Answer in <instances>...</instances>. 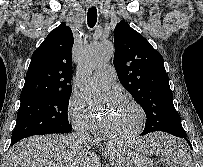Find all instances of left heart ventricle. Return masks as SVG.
I'll return each instance as SVG.
<instances>
[{"label": "left heart ventricle", "instance_id": "left-heart-ventricle-1", "mask_svg": "<svg viewBox=\"0 0 203 167\" xmlns=\"http://www.w3.org/2000/svg\"><path fill=\"white\" fill-rule=\"evenodd\" d=\"M104 126L113 134L123 136L132 132L138 123L137 113L125 102H118L114 108L101 115Z\"/></svg>", "mask_w": 203, "mask_h": 167}]
</instances>
